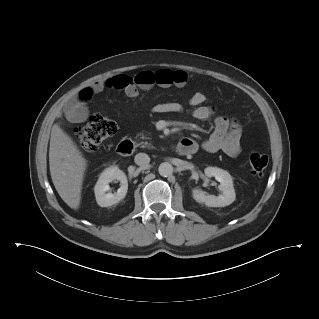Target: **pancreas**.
<instances>
[{
	"label": "pancreas",
	"mask_w": 319,
	"mask_h": 319,
	"mask_svg": "<svg viewBox=\"0 0 319 319\" xmlns=\"http://www.w3.org/2000/svg\"><path fill=\"white\" fill-rule=\"evenodd\" d=\"M142 138H147V137L142 135ZM138 146H141V148H153V145L149 142H140Z\"/></svg>",
	"instance_id": "cf45deb5"
}]
</instances>
